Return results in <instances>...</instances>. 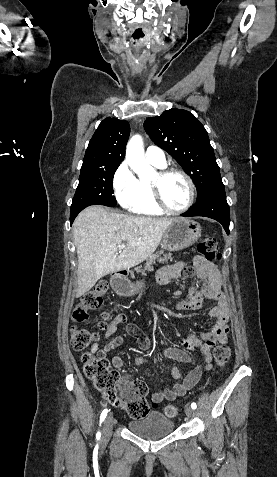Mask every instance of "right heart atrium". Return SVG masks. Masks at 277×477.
<instances>
[{
    "mask_svg": "<svg viewBox=\"0 0 277 477\" xmlns=\"http://www.w3.org/2000/svg\"><path fill=\"white\" fill-rule=\"evenodd\" d=\"M137 178L126 162L121 163L113 175V189L119 204L129 208L136 198Z\"/></svg>",
    "mask_w": 277,
    "mask_h": 477,
    "instance_id": "right-heart-atrium-1",
    "label": "right heart atrium"
}]
</instances>
